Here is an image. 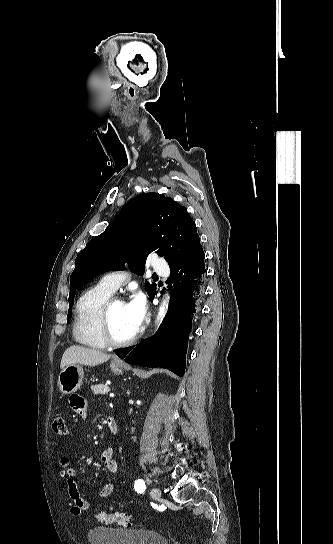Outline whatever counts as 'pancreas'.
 Wrapping results in <instances>:
<instances>
[{
    "label": "pancreas",
    "instance_id": "obj_1",
    "mask_svg": "<svg viewBox=\"0 0 333 544\" xmlns=\"http://www.w3.org/2000/svg\"><path fill=\"white\" fill-rule=\"evenodd\" d=\"M91 390L96 395H105L110 391V388L106 384H98L91 386Z\"/></svg>",
    "mask_w": 333,
    "mask_h": 544
}]
</instances>
